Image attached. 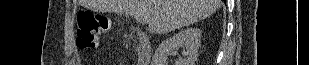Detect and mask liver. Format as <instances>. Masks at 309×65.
<instances>
[{"instance_id": "obj_1", "label": "liver", "mask_w": 309, "mask_h": 65, "mask_svg": "<svg viewBox=\"0 0 309 65\" xmlns=\"http://www.w3.org/2000/svg\"><path fill=\"white\" fill-rule=\"evenodd\" d=\"M221 0H81L90 10L126 13L164 34L211 16Z\"/></svg>"}]
</instances>
